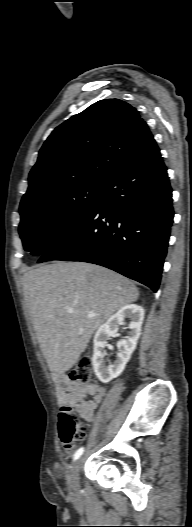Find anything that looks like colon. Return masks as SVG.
Instances as JSON below:
<instances>
[{
    "mask_svg": "<svg viewBox=\"0 0 192 527\" xmlns=\"http://www.w3.org/2000/svg\"><path fill=\"white\" fill-rule=\"evenodd\" d=\"M92 367V360L83 357L70 371L69 379L82 385H91ZM58 430L62 444L68 450L86 436V427L80 423L69 403H63L60 408Z\"/></svg>",
    "mask_w": 192,
    "mask_h": 527,
    "instance_id": "obj_1",
    "label": "colon"
}]
</instances>
